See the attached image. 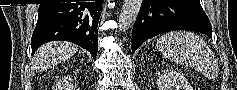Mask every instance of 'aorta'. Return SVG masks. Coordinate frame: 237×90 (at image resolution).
I'll return each instance as SVG.
<instances>
[{
    "instance_id": "obj_1",
    "label": "aorta",
    "mask_w": 237,
    "mask_h": 90,
    "mask_svg": "<svg viewBox=\"0 0 237 90\" xmlns=\"http://www.w3.org/2000/svg\"><path fill=\"white\" fill-rule=\"evenodd\" d=\"M143 0H124L118 18L119 32H126L134 24Z\"/></svg>"
}]
</instances>
